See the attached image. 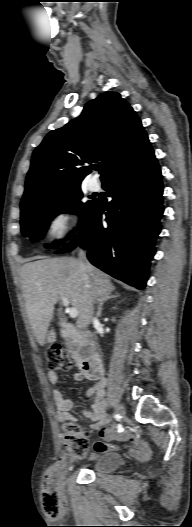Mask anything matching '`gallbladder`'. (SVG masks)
I'll return each mask as SVG.
<instances>
[{"mask_svg":"<svg viewBox=\"0 0 192 527\" xmlns=\"http://www.w3.org/2000/svg\"><path fill=\"white\" fill-rule=\"evenodd\" d=\"M63 318H60V321H62ZM48 343H53L56 341V333L54 330H51L49 333H48V336H47V340H46Z\"/></svg>","mask_w":192,"mask_h":527,"instance_id":"gallbladder-1","label":"gallbladder"}]
</instances>
